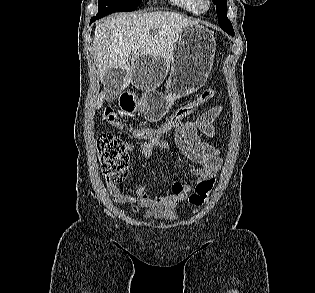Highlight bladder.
I'll use <instances>...</instances> for the list:
<instances>
[{
	"label": "bladder",
	"mask_w": 315,
	"mask_h": 293,
	"mask_svg": "<svg viewBox=\"0 0 315 293\" xmlns=\"http://www.w3.org/2000/svg\"><path fill=\"white\" fill-rule=\"evenodd\" d=\"M146 219L151 220H175L178 215L173 210H168L164 208H155L147 211L144 215Z\"/></svg>",
	"instance_id": "obj_1"
}]
</instances>
